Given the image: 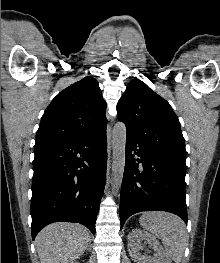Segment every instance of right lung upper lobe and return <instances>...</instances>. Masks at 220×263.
I'll list each match as a JSON object with an SVG mask.
<instances>
[{"label":"right lung upper lobe","instance_id":"obj_1","mask_svg":"<svg viewBox=\"0 0 220 263\" xmlns=\"http://www.w3.org/2000/svg\"><path fill=\"white\" fill-rule=\"evenodd\" d=\"M106 103L98 82L85 77L61 91L46 108L35 144L87 137L106 130Z\"/></svg>","mask_w":220,"mask_h":263}]
</instances>
